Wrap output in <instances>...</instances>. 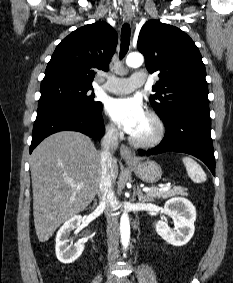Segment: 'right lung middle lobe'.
Returning <instances> with one entry per match:
<instances>
[{
  "instance_id": "dd1d6c3e",
  "label": "right lung middle lobe",
  "mask_w": 233,
  "mask_h": 283,
  "mask_svg": "<svg viewBox=\"0 0 233 283\" xmlns=\"http://www.w3.org/2000/svg\"><path fill=\"white\" fill-rule=\"evenodd\" d=\"M92 89V87L63 80L42 82L38 108L55 104L75 107L86 111H96L102 107V104L94 100L95 95L90 93Z\"/></svg>"
}]
</instances>
